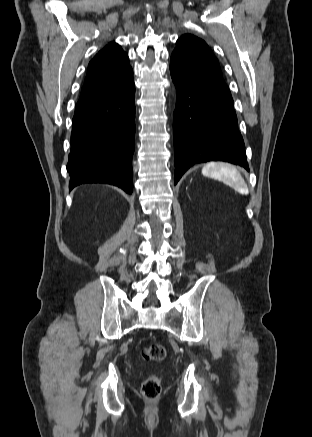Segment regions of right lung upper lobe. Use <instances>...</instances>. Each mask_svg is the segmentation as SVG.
<instances>
[{
    "label": "right lung upper lobe",
    "mask_w": 312,
    "mask_h": 437,
    "mask_svg": "<svg viewBox=\"0 0 312 437\" xmlns=\"http://www.w3.org/2000/svg\"><path fill=\"white\" fill-rule=\"evenodd\" d=\"M131 73L127 54L118 44L111 42L90 61L78 103L114 89Z\"/></svg>",
    "instance_id": "right-lung-upper-lobe-1"
}]
</instances>
